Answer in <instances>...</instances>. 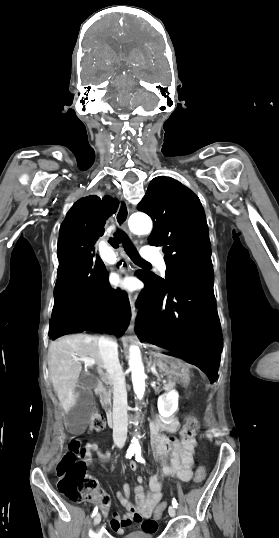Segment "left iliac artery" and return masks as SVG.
<instances>
[{"label": "left iliac artery", "instance_id": "left-iliac-artery-1", "mask_svg": "<svg viewBox=\"0 0 279 538\" xmlns=\"http://www.w3.org/2000/svg\"><path fill=\"white\" fill-rule=\"evenodd\" d=\"M135 458H136L137 462L145 463V460H144V458L142 457V454H141V449L135 450ZM172 505H173L174 508L178 507V503H177L176 499L172 500Z\"/></svg>", "mask_w": 279, "mask_h": 538}]
</instances>
